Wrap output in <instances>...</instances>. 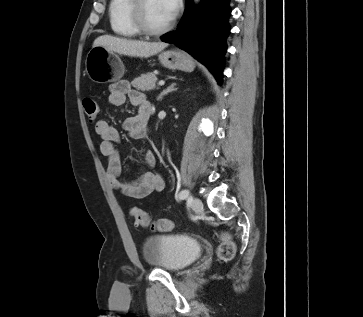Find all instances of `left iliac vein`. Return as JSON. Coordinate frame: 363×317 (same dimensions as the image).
<instances>
[{
    "label": "left iliac vein",
    "mask_w": 363,
    "mask_h": 317,
    "mask_svg": "<svg viewBox=\"0 0 363 317\" xmlns=\"http://www.w3.org/2000/svg\"><path fill=\"white\" fill-rule=\"evenodd\" d=\"M188 200L190 201L191 208L194 212L200 213L203 210V203L199 198L189 197Z\"/></svg>",
    "instance_id": "obj_1"
}]
</instances>
